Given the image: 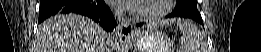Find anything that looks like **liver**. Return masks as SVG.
<instances>
[{
    "label": "liver",
    "instance_id": "6515ba94",
    "mask_svg": "<svg viewBox=\"0 0 261 52\" xmlns=\"http://www.w3.org/2000/svg\"><path fill=\"white\" fill-rule=\"evenodd\" d=\"M106 44V32L92 20L59 14L38 27L34 52H104Z\"/></svg>",
    "mask_w": 261,
    "mask_h": 52
}]
</instances>
